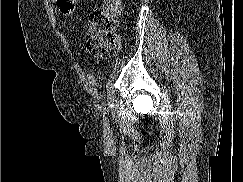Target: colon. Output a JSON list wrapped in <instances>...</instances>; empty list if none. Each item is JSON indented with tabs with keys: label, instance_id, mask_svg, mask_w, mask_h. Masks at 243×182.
<instances>
[{
	"label": "colon",
	"instance_id": "1",
	"mask_svg": "<svg viewBox=\"0 0 243 182\" xmlns=\"http://www.w3.org/2000/svg\"><path fill=\"white\" fill-rule=\"evenodd\" d=\"M77 0H56L60 13L70 16ZM122 0H104L103 4L89 15L87 48L95 56H113L119 49V36L116 33Z\"/></svg>",
	"mask_w": 243,
	"mask_h": 182
}]
</instances>
